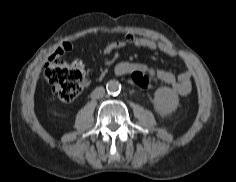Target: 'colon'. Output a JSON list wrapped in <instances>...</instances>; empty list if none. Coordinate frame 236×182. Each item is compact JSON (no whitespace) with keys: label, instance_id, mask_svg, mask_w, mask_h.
I'll return each instance as SVG.
<instances>
[{"label":"colon","instance_id":"1","mask_svg":"<svg viewBox=\"0 0 236 182\" xmlns=\"http://www.w3.org/2000/svg\"><path fill=\"white\" fill-rule=\"evenodd\" d=\"M44 76L53 94L64 102L73 101L87 84V75L82 62L75 61L68 64L55 55L49 57ZM131 80L134 85L143 90L152 86L150 76L140 70L131 72Z\"/></svg>","mask_w":236,"mask_h":182}]
</instances>
